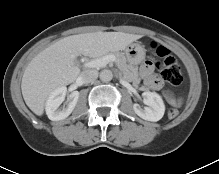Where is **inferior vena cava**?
<instances>
[{"label": "inferior vena cava", "mask_w": 219, "mask_h": 174, "mask_svg": "<svg viewBox=\"0 0 219 174\" xmlns=\"http://www.w3.org/2000/svg\"><path fill=\"white\" fill-rule=\"evenodd\" d=\"M98 77V72L96 70H85L80 74V79L84 83H90L97 79Z\"/></svg>", "instance_id": "obj_1"}]
</instances>
